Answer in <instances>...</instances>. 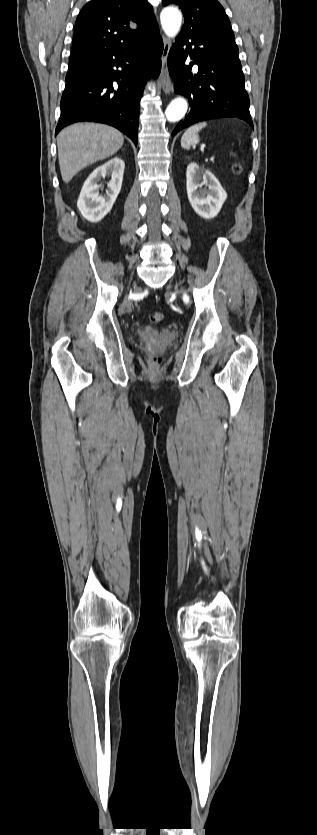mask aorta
<instances>
[{
	"instance_id": "1",
	"label": "aorta",
	"mask_w": 317,
	"mask_h": 835,
	"mask_svg": "<svg viewBox=\"0 0 317 835\" xmlns=\"http://www.w3.org/2000/svg\"><path fill=\"white\" fill-rule=\"evenodd\" d=\"M161 26L168 37L174 38L180 31L182 23L181 12L174 7H167L162 10L160 15ZM188 109V103L184 98L174 99L166 108L165 116L169 122H177L181 120Z\"/></svg>"
}]
</instances>
